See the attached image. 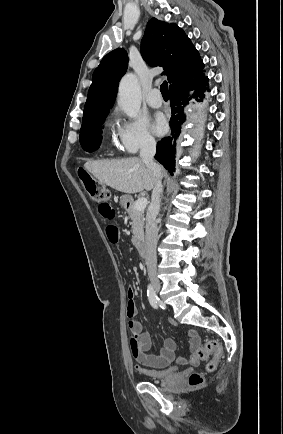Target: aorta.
I'll return each instance as SVG.
<instances>
[{
	"mask_svg": "<svg viewBox=\"0 0 283 434\" xmlns=\"http://www.w3.org/2000/svg\"><path fill=\"white\" fill-rule=\"evenodd\" d=\"M118 106L131 118L138 115L141 107V90L134 74H126L121 79L118 89Z\"/></svg>",
	"mask_w": 283,
	"mask_h": 434,
	"instance_id": "1",
	"label": "aorta"
}]
</instances>
